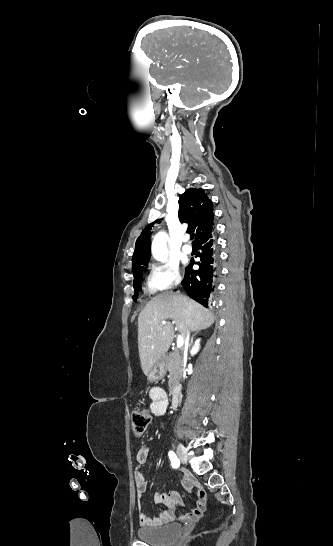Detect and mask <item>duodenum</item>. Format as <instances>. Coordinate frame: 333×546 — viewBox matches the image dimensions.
Instances as JSON below:
<instances>
[{
	"mask_svg": "<svg viewBox=\"0 0 333 546\" xmlns=\"http://www.w3.org/2000/svg\"><path fill=\"white\" fill-rule=\"evenodd\" d=\"M181 399V391L180 389H174L172 392V405L174 407L178 406Z\"/></svg>",
	"mask_w": 333,
	"mask_h": 546,
	"instance_id": "duodenum-1",
	"label": "duodenum"
}]
</instances>
